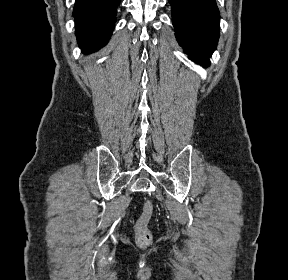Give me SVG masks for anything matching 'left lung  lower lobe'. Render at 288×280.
Instances as JSON below:
<instances>
[{
	"label": "left lung lower lobe",
	"instance_id": "1",
	"mask_svg": "<svg viewBox=\"0 0 288 280\" xmlns=\"http://www.w3.org/2000/svg\"><path fill=\"white\" fill-rule=\"evenodd\" d=\"M175 35L192 61L209 66L219 39L220 16L215 0H168Z\"/></svg>",
	"mask_w": 288,
	"mask_h": 280
}]
</instances>
